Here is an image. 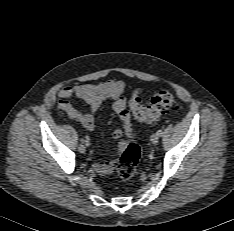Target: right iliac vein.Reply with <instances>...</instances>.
<instances>
[{
    "mask_svg": "<svg viewBox=\"0 0 234 231\" xmlns=\"http://www.w3.org/2000/svg\"><path fill=\"white\" fill-rule=\"evenodd\" d=\"M78 150L80 153H84L86 151V148L84 145L81 144V145H79Z\"/></svg>",
    "mask_w": 234,
    "mask_h": 231,
    "instance_id": "right-iliac-vein-1",
    "label": "right iliac vein"
}]
</instances>
